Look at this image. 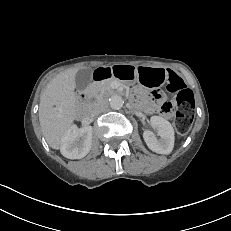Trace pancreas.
<instances>
[{
  "label": "pancreas",
  "instance_id": "pancreas-1",
  "mask_svg": "<svg viewBox=\"0 0 231 231\" xmlns=\"http://www.w3.org/2000/svg\"><path fill=\"white\" fill-rule=\"evenodd\" d=\"M110 86H111V81L104 82L103 84H101L100 91H106L110 89Z\"/></svg>",
  "mask_w": 231,
  "mask_h": 231
}]
</instances>
